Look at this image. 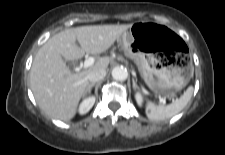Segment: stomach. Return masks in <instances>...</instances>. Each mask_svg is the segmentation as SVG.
<instances>
[{"instance_id":"0dacf381","label":"stomach","mask_w":225,"mask_h":155,"mask_svg":"<svg viewBox=\"0 0 225 155\" xmlns=\"http://www.w3.org/2000/svg\"><path fill=\"white\" fill-rule=\"evenodd\" d=\"M126 54L134 59L154 92L180 90L189 81V66L178 36L168 27L137 22L122 34Z\"/></svg>"}]
</instances>
